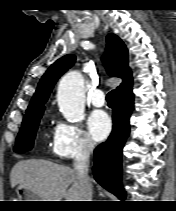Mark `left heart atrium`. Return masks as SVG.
<instances>
[{
	"mask_svg": "<svg viewBox=\"0 0 176 211\" xmlns=\"http://www.w3.org/2000/svg\"><path fill=\"white\" fill-rule=\"evenodd\" d=\"M90 135L96 141L104 140L111 131V120L104 111H94L87 119Z\"/></svg>",
	"mask_w": 176,
	"mask_h": 211,
	"instance_id": "39dd6f15",
	"label": "left heart atrium"
}]
</instances>
